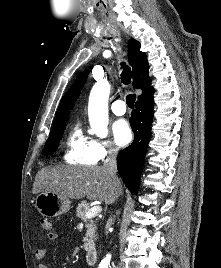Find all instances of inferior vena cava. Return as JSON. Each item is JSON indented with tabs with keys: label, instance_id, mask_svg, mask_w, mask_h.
I'll use <instances>...</instances> for the list:
<instances>
[{
	"label": "inferior vena cava",
	"instance_id": "602c4592",
	"mask_svg": "<svg viewBox=\"0 0 221 268\" xmlns=\"http://www.w3.org/2000/svg\"><path fill=\"white\" fill-rule=\"evenodd\" d=\"M118 149H110L108 152V156L104 161L103 168L111 176V178L116 182L118 178L116 176L117 173V164H116V157H117Z\"/></svg>",
	"mask_w": 221,
	"mask_h": 268
}]
</instances>
